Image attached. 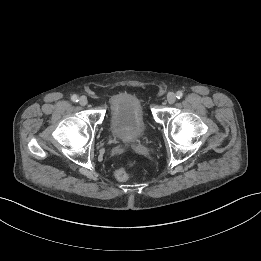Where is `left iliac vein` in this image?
<instances>
[{
    "label": "left iliac vein",
    "mask_w": 261,
    "mask_h": 261,
    "mask_svg": "<svg viewBox=\"0 0 261 261\" xmlns=\"http://www.w3.org/2000/svg\"><path fill=\"white\" fill-rule=\"evenodd\" d=\"M175 101H176V95L172 92L168 93L167 94V102L169 104H173V103H175Z\"/></svg>",
    "instance_id": "obj_1"
}]
</instances>
